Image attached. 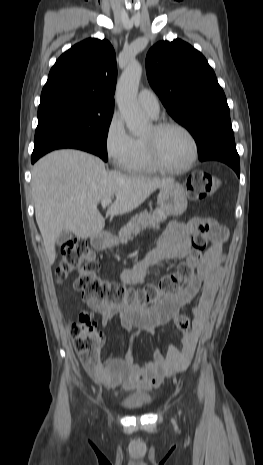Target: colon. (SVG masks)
<instances>
[{"mask_svg": "<svg viewBox=\"0 0 263 465\" xmlns=\"http://www.w3.org/2000/svg\"><path fill=\"white\" fill-rule=\"evenodd\" d=\"M221 186L218 176L198 172L187 180V194L193 200L209 197ZM202 233L194 238V249L189 258L178 265L176 270L164 276L158 284H149L140 290L107 281L97 275L99 264L85 239L75 238L62 246L61 260L56 269L60 281L69 274L77 273L74 288L85 299H92L112 306L128 305L145 309L150 304H157L164 297H171L181 292L194 278L195 269L207 246L205 232L217 226L208 218H200ZM176 328L187 332L190 328L189 318L179 315L174 320ZM69 333L84 368L93 371L99 367L104 335L93 322L89 313H82L78 322L70 325Z\"/></svg>", "mask_w": 263, "mask_h": 465, "instance_id": "5ec220e1", "label": "colon"}]
</instances>
